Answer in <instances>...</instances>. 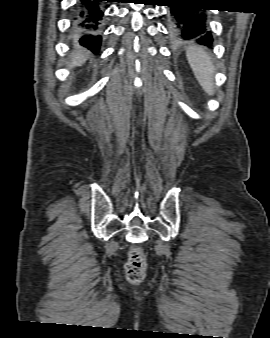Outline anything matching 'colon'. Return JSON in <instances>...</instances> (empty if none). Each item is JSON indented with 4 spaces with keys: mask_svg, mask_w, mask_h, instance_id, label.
Wrapping results in <instances>:
<instances>
[{
    "mask_svg": "<svg viewBox=\"0 0 270 338\" xmlns=\"http://www.w3.org/2000/svg\"><path fill=\"white\" fill-rule=\"evenodd\" d=\"M145 259L143 252L138 247L130 249L128 260L125 264L126 277L131 283H138L144 275Z\"/></svg>",
    "mask_w": 270,
    "mask_h": 338,
    "instance_id": "5ec220e1",
    "label": "colon"
}]
</instances>
